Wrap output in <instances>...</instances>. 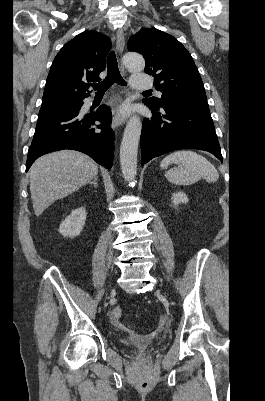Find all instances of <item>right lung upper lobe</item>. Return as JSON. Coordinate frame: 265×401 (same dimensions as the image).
Returning <instances> with one entry per match:
<instances>
[{"label":"right lung upper lobe","instance_id":"obj_1","mask_svg":"<svg viewBox=\"0 0 265 401\" xmlns=\"http://www.w3.org/2000/svg\"><path fill=\"white\" fill-rule=\"evenodd\" d=\"M110 48V39L97 31H84L66 43L51 65L42 105L88 97L84 80H100Z\"/></svg>","mask_w":265,"mask_h":401}]
</instances>
